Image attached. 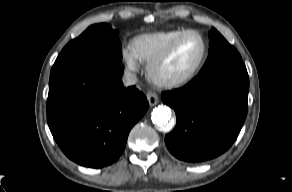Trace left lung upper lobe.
<instances>
[{
  "label": "left lung upper lobe",
  "mask_w": 292,
  "mask_h": 192,
  "mask_svg": "<svg viewBox=\"0 0 292 192\" xmlns=\"http://www.w3.org/2000/svg\"><path fill=\"white\" fill-rule=\"evenodd\" d=\"M209 40V55L199 74L225 67L245 66L238 51L214 28L209 32Z\"/></svg>",
  "instance_id": "obj_1"
}]
</instances>
